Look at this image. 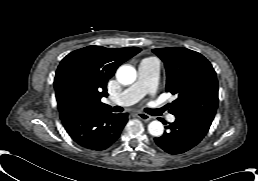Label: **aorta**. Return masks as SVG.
I'll return each instance as SVG.
<instances>
[{"label":"aorta","mask_w":258,"mask_h":181,"mask_svg":"<svg viewBox=\"0 0 258 181\" xmlns=\"http://www.w3.org/2000/svg\"><path fill=\"white\" fill-rule=\"evenodd\" d=\"M137 73L131 65H122L116 72V78L122 85H130L135 82ZM148 131L152 136L159 137L163 134L164 126L158 121H152L148 125Z\"/></svg>","instance_id":"obj_1"}]
</instances>
